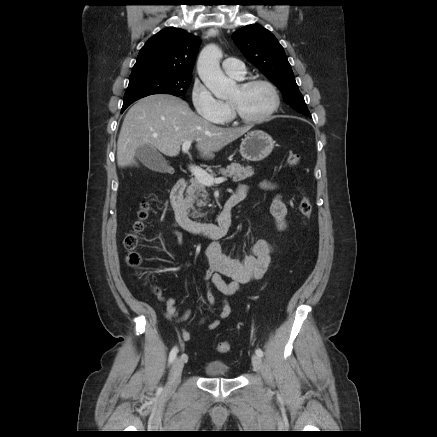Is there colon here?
Instances as JSON below:
<instances>
[{
	"label": "colon",
	"instance_id": "obj_1",
	"mask_svg": "<svg viewBox=\"0 0 437 437\" xmlns=\"http://www.w3.org/2000/svg\"><path fill=\"white\" fill-rule=\"evenodd\" d=\"M287 164L290 167H296L300 162V155L298 152L289 151L287 155ZM149 203L142 201L138 211V218L133 224L132 231L128 233L124 239V246L127 249V264L138 269L142 263V255L138 251L142 243V233L146 228V221L149 216ZM299 211L304 218L308 220L312 214V203L308 196L304 195L299 202ZM230 343L228 341L220 342L217 345V350L220 353H226L230 350Z\"/></svg>",
	"mask_w": 437,
	"mask_h": 437
}]
</instances>
